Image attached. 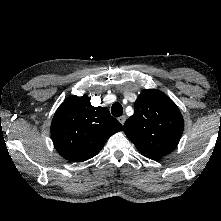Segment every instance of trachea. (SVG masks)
Masks as SVG:
<instances>
[{
	"label": "trachea",
	"mask_w": 221,
	"mask_h": 221,
	"mask_svg": "<svg viewBox=\"0 0 221 221\" xmlns=\"http://www.w3.org/2000/svg\"><path fill=\"white\" fill-rule=\"evenodd\" d=\"M111 113L115 117H120L123 114V107L120 103L116 102L111 107Z\"/></svg>",
	"instance_id": "1"
}]
</instances>
